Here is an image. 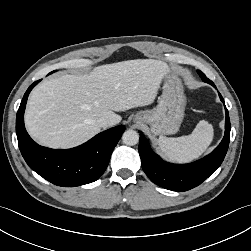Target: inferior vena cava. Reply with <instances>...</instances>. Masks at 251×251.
I'll list each match as a JSON object with an SVG mask.
<instances>
[{"mask_svg": "<svg viewBox=\"0 0 251 251\" xmlns=\"http://www.w3.org/2000/svg\"><path fill=\"white\" fill-rule=\"evenodd\" d=\"M97 124L101 127V128H108L110 126H113V122L111 120H109L106 117H101L97 120Z\"/></svg>", "mask_w": 251, "mask_h": 251, "instance_id": "inferior-vena-cava-1", "label": "inferior vena cava"}]
</instances>
